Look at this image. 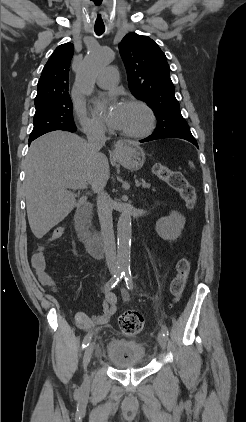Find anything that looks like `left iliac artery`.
Instances as JSON below:
<instances>
[{
  "instance_id": "44dca946",
  "label": "left iliac artery",
  "mask_w": 246,
  "mask_h": 422,
  "mask_svg": "<svg viewBox=\"0 0 246 422\" xmlns=\"http://www.w3.org/2000/svg\"><path fill=\"white\" fill-rule=\"evenodd\" d=\"M124 279H125L127 288L129 290H133V278H132V274H131L130 269L124 270ZM162 333L165 337H167L169 335V331H168V328L166 327V325H162Z\"/></svg>"
}]
</instances>
